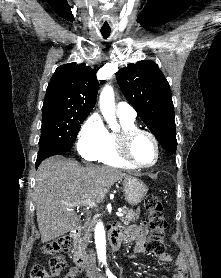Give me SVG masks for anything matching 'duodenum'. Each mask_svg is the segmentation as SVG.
<instances>
[{
    "label": "duodenum",
    "instance_id": "duodenum-1",
    "mask_svg": "<svg viewBox=\"0 0 221 278\" xmlns=\"http://www.w3.org/2000/svg\"><path fill=\"white\" fill-rule=\"evenodd\" d=\"M81 233H82V228L80 226H77L72 230L71 237L75 241H78L81 237ZM126 239H128V237L126 235L125 229L117 225H111L109 241L113 251H117L120 248L122 242ZM87 260H88L87 254L83 252L81 249L75 248L73 252V261L75 262V264L80 270L85 268L87 264Z\"/></svg>",
    "mask_w": 221,
    "mask_h": 278
}]
</instances>
